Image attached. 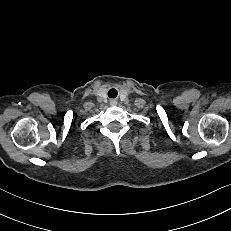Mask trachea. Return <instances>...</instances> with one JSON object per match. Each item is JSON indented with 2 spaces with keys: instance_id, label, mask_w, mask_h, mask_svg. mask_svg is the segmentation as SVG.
I'll use <instances>...</instances> for the list:
<instances>
[{
  "instance_id": "3493384b",
  "label": "trachea",
  "mask_w": 231,
  "mask_h": 231,
  "mask_svg": "<svg viewBox=\"0 0 231 231\" xmlns=\"http://www.w3.org/2000/svg\"><path fill=\"white\" fill-rule=\"evenodd\" d=\"M108 96L110 98H115L117 96V91L116 89H110L109 92H108Z\"/></svg>"
}]
</instances>
